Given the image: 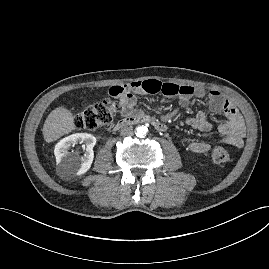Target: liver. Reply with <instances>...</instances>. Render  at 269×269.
Returning <instances> with one entry per match:
<instances>
[{
    "label": "liver",
    "mask_w": 269,
    "mask_h": 269,
    "mask_svg": "<svg viewBox=\"0 0 269 269\" xmlns=\"http://www.w3.org/2000/svg\"><path fill=\"white\" fill-rule=\"evenodd\" d=\"M74 118L71 111L64 106L51 111L42 129L44 140L50 143L73 131L76 128Z\"/></svg>",
    "instance_id": "liver-1"
}]
</instances>
